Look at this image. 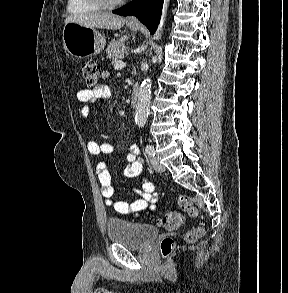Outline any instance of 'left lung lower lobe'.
Segmentation results:
<instances>
[{
    "label": "left lung lower lobe",
    "mask_w": 288,
    "mask_h": 293,
    "mask_svg": "<svg viewBox=\"0 0 288 293\" xmlns=\"http://www.w3.org/2000/svg\"><path fill=\"white\" fill-rule=\"evenodd\" d=\"M162 6L163 0H133L113 13L121 16L135 15L154 34L160 21Z\"/></svg>",
    "instance_id": "obj_1"
}]
</instances>
